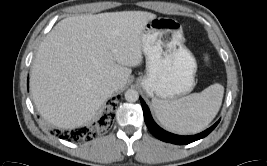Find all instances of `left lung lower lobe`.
I'll return each mask as SVG.
<instances>
[{"mask_svg":"<svg viewBox=\"0 0 267 166\" xmlns=\"http://www.w3.org/2000/svg\"><path fill=\"white\" fill-rule=\"evenodd\" d=\"M141 101V105H142V109H143V113H144V120L145 123L149 129V131L158 139L164 141V142H169V143H173V144H178V145H186L189 143H192L194 141H197L201 138H204L205 136H207L219 123L216 122L212 127H210L209 129L196 134V135H192V136H179V135H175L172 133H169L165 130H163L162 128H160L152 119L150 111L147 107V105L145 104V102L140 98Z\"/></svg>","mask_w":267,"mask_h":166,"instance_id":"0a47b994","label":"left lung lower lobe"}]
</instances>
